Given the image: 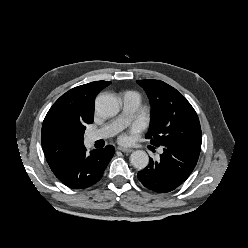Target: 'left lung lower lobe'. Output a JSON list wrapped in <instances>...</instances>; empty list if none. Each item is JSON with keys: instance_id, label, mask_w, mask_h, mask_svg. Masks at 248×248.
I'll list each match as a JSON object with an SVG mask.
<instances>
[{"instance_id": "obj_1", "label": "left lung lower lobe", "mask_w": 248, "mask_h": 248, "mask_svg": "<svg viewBox=\"0 0 248 248\" xmlns=\"http://www.w3.org/2000/svg\"><path fill=\"white\" fill-rule=\"evenodd\" d=\"M163 153L159 161L150 158L149 165L138 172V179L147 189L157 193H167L180 186L195 168L199 154L161 147Z\"/></svg>"}]
</instances>
